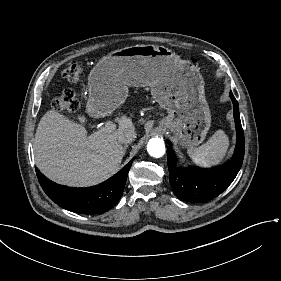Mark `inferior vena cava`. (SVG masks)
Returning a JSON list of instances; mask_svg holds the SVG:
<instances>
[{"instance_id": "inferior-vena-cava-1", "label": "inferior vena cava", "mask_w": 281, "mask_h": 281, "mask_svg": "<svg viewBox=\"0 0 281 281\" xmlns=\"http://www.w3.org/2000/svg\"><path fill=\"white\" fill-rule=\"evenodd\" d=\"M136 138V132L134 130L125 131L117 135V139L124 144H129Z\"/></svg>"}]
</instances>
